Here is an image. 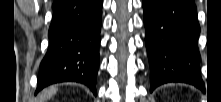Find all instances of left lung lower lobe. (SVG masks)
Returning <instances> with one entry per match:
<instances>
[{"label": "left lung lower lobe", "mask_w": 221, "mask_h": 102, "mask_svg": "<svg viewBox=\"0 0 221 102\" xmlns=\"http://www.w3.org/2000/svg\"><path fill=\"white\" fill-rule=\"evenodd\" d=\"M150 91L168 82L203 89L198 38L200 25L193 0H143Z\"/></svg>", "instance_id": "1"}]
</instances>
